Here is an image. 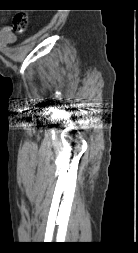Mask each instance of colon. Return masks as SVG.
I'll return each mask as SVG.
<instances>
[{
    "mask_svg": "<svg viewBox=\"0 0 138 253\" xmlns=\"http://www.w3.org/2000/svg\"><path fill=\"white\" fill-rule=\"evenodd\" d=\"M26 26V16L23 14H18L14 18L13 29L16 32H21Z\"/></svg>",
    "mask_w": 138,
    "mask_h": 253,
    "instance_id": "obj_1",
    "label": "colon"
}]
</instances>
